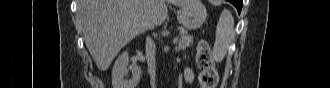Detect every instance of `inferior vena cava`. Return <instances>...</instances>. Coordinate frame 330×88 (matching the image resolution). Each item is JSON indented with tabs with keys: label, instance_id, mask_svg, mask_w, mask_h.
<instances>
[{
	"label": "inferior vena cava",
	"instance_id": "602c4592",
	"mask_svg": "<svg viewBox=\"0 0 330 88\" xmlns=\"http://www.w3.org/2000/svg\"><path fill=\"white\" fill-rule=\"evenodd\" d=\"M146 60L148 65V70L151 76V87L156 88V61H155V55H156V45L149 36L146 38Z\"/></svg>",
	"mask_w": 330,
	"mask_h": 88
}]
</instances>
